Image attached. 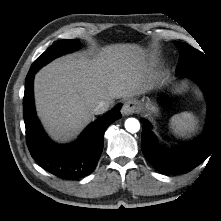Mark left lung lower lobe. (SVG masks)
<instances>
[{
    "mask_svg": "<svg viewBox=\"0 0 221 221\" xmlns=\"http://www.w3.org/2000/svg\"><path fill=\"white\" fill-rule=\"evenodd\" d=\"M186 75L198 82L208 101L207 122L202 136L185 146L165 150L158 146L150 130V124L142 119V151L156 170L166 174H184L191 171L211 154L216 144L221 142V85L204 74L186 73Z\"/></svg>",
    "mask_w": 221,
    "mask_h": 221,
    "instance_id": "0a47b994",
    "label": "left lung lower lobe"
}]
</instances>
